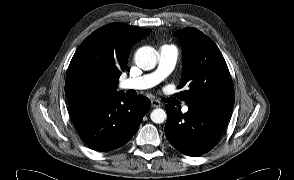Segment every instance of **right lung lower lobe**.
Instances as JSON below:
<instances>
[{"label":"right lung lower lobe","mask_w":294,"mask_h":180,"mask_svg":"<svg viewBox=\"0 0 294 180\" xmlns=\"http://www.w3.org/2000/svg\"><path fill=\"white\" fill-rule=\"evenodd\" d=\"M150 105L144 96L128 99L121 92L73 105L69 114L82 140L103 152L127 143Z\"/></svg>","instance_id":"obj_1"}]
</instances>
